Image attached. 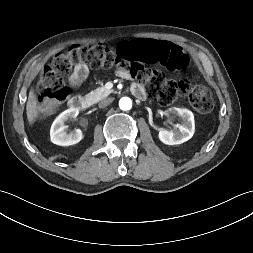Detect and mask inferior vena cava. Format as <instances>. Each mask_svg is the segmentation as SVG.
Listing matches in <instances>:
<instances>
[{
	"mask_svg": "<svg viewBox=\"0 0 253 253\" xmlns=\"http://www.w3.org/2000/svg\"><path fill=\"white\" fill-rule=\"evenodd\" d=\"M111 102H112V99H110V98L104 99L99 102L98 106H99V108H104V107L108 106Z\"/></svg>",
	"mask_w": 253,
	"mask_h": 253,
	"instance_id": "602c4592",
	"label": "inferior vena cava"
}]
</instances>
